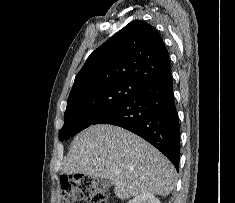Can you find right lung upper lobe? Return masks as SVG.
Segmentation results:
<instances>
[{"label": "right lung upper lobe", "instance_id": "right-lung-upper-lobe-1", "mask_svg": "<svg viewBox=\"0 0 235 203\" xmlns=\"http://www.w3.org/2000/svg\"><path fill=\"white\" fill-rule=\"evenodd\" d=\"M169 70V53L158 31L144 21L134 20L87 58L71 92L113 80L143 84Z\"/></svg>", "mask_w": 235, "mask_h": 203}]
</instances>
